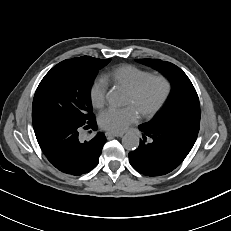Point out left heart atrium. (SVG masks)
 Wrapping results in <instances>:
<instances>
[{
	"label": "left heart atrium",
	"mask_w": 231,
	"mask_h": 231,
	"mask_svg": "<svg viewBox=\"0 0 231 231\" xmlns=\"http://www.w3.org/2000/svg\"><path fill=\"white\" fill-rule=\"evenodd\" d=\"M139 114L133 106L125 108H109L102 112L99 117V124L102 129L122 133L131 124L137 122Z\"/></svg>",
	"instance_id": "39dd6f15"
}]
</instances>
